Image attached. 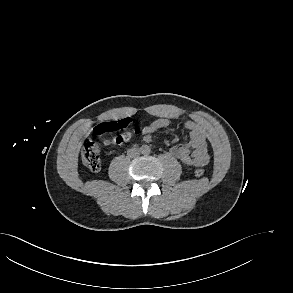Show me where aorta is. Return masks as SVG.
<instances>
[{"mask_svg": "<svg viewBox=\"0 0 293 293\" xmlns=\"http://www.w3.org/2000/svg\"><path fill=\"white\" fill-rule=\"evenodd\" d=\"M150 152V148L148 147V146H144L143 148H142V153L143 154H148Z\"/></svg>", "mask_w": 293, "mask_h": 293, "instance_id": "1", "label": "aorta"}]
</instances>
